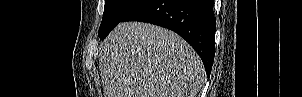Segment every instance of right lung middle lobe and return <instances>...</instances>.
I'll list each match as a JSON object with an SVG mask.
<instances>
[{"label":"right lung middle lobe","instance_id":"right-lung-middle-lobe-1","mask_svg":"<svg viewBox=\"0 0 302 97\" xmlns=\"http://www.w3.org/2000/svg\"><path fill=\"white\" fill-rule=\"evenodd\" d=\"M143 0H105L102 22L99 28V38L103 40L109 32L122 21Z\"/></svg>","mask_w":302,"mask_h":97}]
</instances>
